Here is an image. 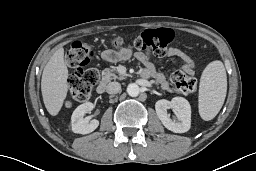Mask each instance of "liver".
I'll return each instance as SVG.
<instances>
[{"label": "liver", "mask_w": 256, "mask_h": 171, "mask_svg": "<svg viewBox=\"0 0 256 171\" xmlns=\"http://www.w3.org/2000/svg\"><path fill=\"white\" fill-rule=\"evenodd\" d=\"M68 75V69L64 61V49L60 47L45 65L41 79L44 105L52 116L59 113L67 96Z\"/></svg>", "instance_id": "obj_1"}]
</instances>
